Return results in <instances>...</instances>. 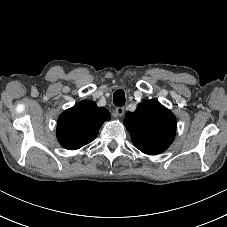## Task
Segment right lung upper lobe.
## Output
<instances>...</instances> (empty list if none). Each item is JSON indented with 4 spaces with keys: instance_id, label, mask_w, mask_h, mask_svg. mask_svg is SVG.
<instances>
[{
    "instance_id": "1",
    "label": "right lung upper lobe",
    "mask_w": 227,
    "mask_h": 227,
    "mask_svg": "<svg viewBox=\"0 0 227 227\" xmlns=\"http://www.w3.org/2000/svg\"><path fill=\"white\" fill-rule=\"evenodd\" d=\"M110 119L106 108L85 100L64 111L57 122V139L66 149L76 150L92 142L100 127Z\"/></svg>"
}]
</instances>
